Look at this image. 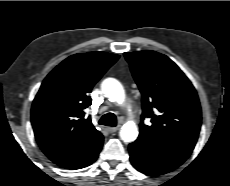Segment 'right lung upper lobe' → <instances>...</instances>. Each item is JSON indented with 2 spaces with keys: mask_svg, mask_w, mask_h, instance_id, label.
I'll list each match as a JSON object with an SVG mask.
<instances>
[{
  "mask_svg": "<svg viewBox=\"0 0 230 186\" xmlns=\"http://www.w3.org/2000/svg\"><path fill=\"white\" fill-rule=\"evenodd\" d=\"M119 58L106 52L72 55L44 79L31 109L35 138L44 154L64 168H73L103 142L100 131L84 117L89 93Z\"/></svg>",
  "mask_w": 230,
  "mask_h": 186,
  "instance_id": "obj_1",
  "label": "right lung upper lobe"
}]
</instances>
